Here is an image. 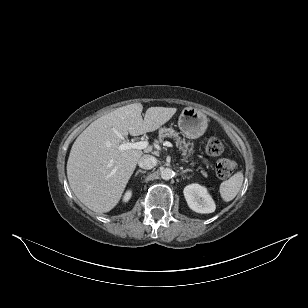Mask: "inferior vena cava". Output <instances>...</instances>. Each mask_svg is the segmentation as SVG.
<instances>
[{"instance_id":"602c4592","label":"inferior vena cava","mask_w":308,"mask_h":308,"mask_svg":"<svg viewBox=\"0 0 308 308\" xmlns=\"http://www.w3.org/2000/svg\"><path fill=\"white\" fill-rule=\"evenodd\" d=\"M138 165L142 169L150 170L156 166V158L152 155H143L139 159Z\"/></svg>"}]
</instances>
